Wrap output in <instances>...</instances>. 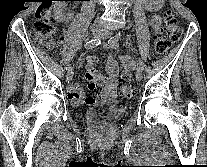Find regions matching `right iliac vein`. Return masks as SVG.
I'll list each match as a JSON object with an SVG mask.
<instances>
[{"label":"right iliac vein","instance_id":"1","mask_svg":"<svg viewBox=\"0 0 207 167\" xmlns=\"http://www.w3.org/2000/svg\"><path fill=\"white\" fill-rule=\"evenodd\" d=\"M102 33L103 32L98 27H94L92 29V35L94 37H100L102 35ZM72 77H73V69L70 68L67 72V81L69 82L72 79Z\"/></svg>","mask_w":207,"mask_h":167}]
</instances>
